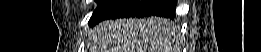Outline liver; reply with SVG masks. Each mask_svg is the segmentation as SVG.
Returning a JSON list of instances; mask_svg holds the SVG:
<instances>
[{"label": "liver", "instance_id": "1", "mask_svg": "<svg viewBox=\"0 0 261 52\" xmlns=\"http://www.w3.org/2000/svg\"><path fill=\"white\" fill-rule=\"evenodd\" d=\"M177 38L168 19L123 18L106 20L90 33V52H171Z\"/></svg>", "mask_w": 261, "mask_h": 52}]
</instances>
